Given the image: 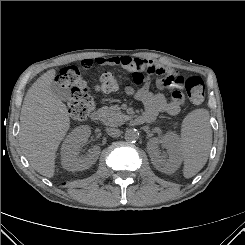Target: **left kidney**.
Segmentation results:
<instances>
[{"label": "left kidney", "instance_id": "obj_1", "mask_svg": "<svg viewBox=\"0 0 245 245\" xmlns=\"http://www.w3.org/2000/svg\"><path fill=\"white\" fill-rule=\"evenodd\" d=\"M160 144L167 150L166 154L161 153ZM147 150L153 165L161 172L172 173L182 162L180 139L174 132L151 138L147 143Z\"/></svg>", "mask_w": 245, "mask_h": 245}]
</instances>
